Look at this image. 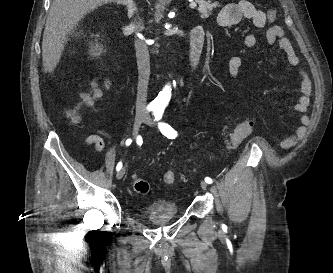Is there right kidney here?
Instances as JSON below:
<instances>
[{"instance_id": "right-kidney-1", "label": "right kidney", "mask_w": 333, "mask_h": 273, "mask_svg": "<svg viewBox=\"0 0 333 273\" xmlns=\"http://www.w3.org/2000/svg\"><path fill=\"white\" fill-rule=\"evenodd\" d=\"M101 50V49H100ZM100 54V52L97 54V53H93V55H99Z\"/></svg>"}]
</instances>
